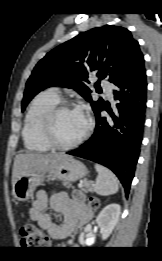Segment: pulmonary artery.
<instances>
[{"mask_svg": "<svg viewBox=\"0 0 162 261\" xmlns=\"http://www.w3.org/2000/svg\"><path fill=\"white\" fill-rule=\"evenodd\" d=\"M101 87H102L104 93L107 95V97L109 99H113L112 85L108 81L102 80L101 81ZM51 91L59 96V90L57 88H53Z\"/></svg>", "mask_w": 162, "mask_h": 261, "instance_id": "pulmonary-artery-1", "label": "pulmonary artery"}]
</instances>
